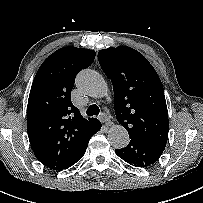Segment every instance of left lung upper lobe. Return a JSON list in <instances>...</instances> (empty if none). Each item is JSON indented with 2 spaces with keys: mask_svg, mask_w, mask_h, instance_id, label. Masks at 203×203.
<instances>
[{
  "mask_svg": "<svg viewBox=\"0 0 203 203\" xmlns=\"http://www.w3.org/2000/svg\"><path fill=\"white\" fill-rule=\"evenodd\" d=\"M98 60L114 89L115 114L130 136L166 147L169 131L163 85L138 51L119 46L100 50Z\"/></svg>",
  "mask_w": 203,
  "mask_h": 203,
  "instance_id": "obj_1",
  "label": "left lung upper lobe"
}]
</instances>
